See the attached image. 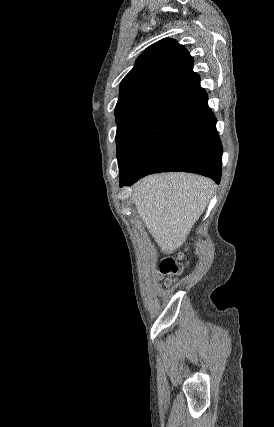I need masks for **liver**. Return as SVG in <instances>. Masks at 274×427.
<instances>
[{
    "label": "liver",
    "instance_id": "1",
    "mask_svg": "<svg viewBox=\"0 0 274 427\" xmlns=\"http://www.w3.org/2000/svg\"><path fill=\"white\" fill-rule=\"evenodd\" d=\"M213 188L212 180L195 174H154L134 184L132 196L159 247L173 253L203 214Z\"/></svg>",
    "mask_w": 274,
    "mask_h": 427
}]
</instances>
